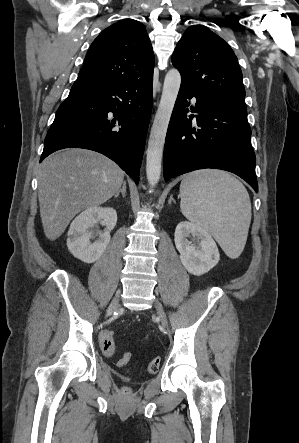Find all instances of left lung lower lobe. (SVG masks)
Listing matches in <instances>:
<instances>
[{
    "instance_id": "1",
    "label": "left lung lower lobe",
    "mask_w": 299,
    "mask_h": 443,
    "mask_svg": "<svg viewBox=\"0 0 299 443\" xmlns=\"http://www.w3.org/2000/svg\"><path fill=\"white\" fill-rule=\"evenodd\" d=\"M193 97L196 104L190 110L196 115L187 116L188 100ZM255 162L247 111L208 98L181 82L166 135L164 179L215 168L240 176L258 192Z\"/></svg>"
}]
</instances>
